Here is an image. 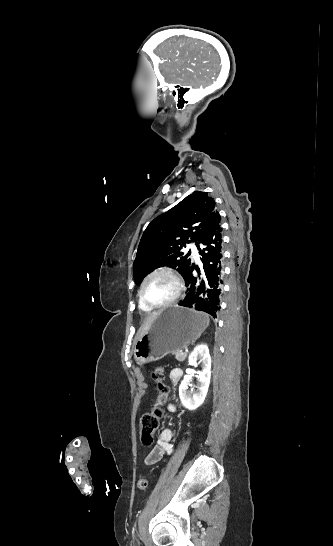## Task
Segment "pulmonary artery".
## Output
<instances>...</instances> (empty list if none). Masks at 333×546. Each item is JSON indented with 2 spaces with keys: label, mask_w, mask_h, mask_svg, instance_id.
Instances as JSON below:
<instances>
[{
  "label": "pulmonary artery",
  "mask_w": 333,
  "mask_h": 546,
  "mask_svg": "<svg viewBox=\"0 0 333 546\" xmlns=\"http://www.w3.org/2000/svg\"><path fill=\"white\" fill-rule=\"evenodd\" d=\"M189 248L191 249V252L193 256L197 259L198 258V250L194 244H190Z\"/></svg>",
  "instance_id": "obj_1"
}]
</instances>
